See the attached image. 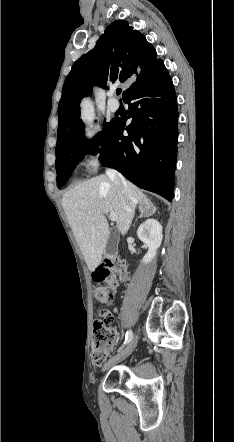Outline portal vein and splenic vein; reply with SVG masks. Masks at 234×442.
<instances>
[{
	"label": "portal vein and splenic vein",
	"mask_w": 234,
	"mask_h": 442,
	"mask_svg": "<svg viewBox=\"0 0 234 442\" xmlns=\"http://www.w3.org/2000/svg\"><path fill=\"white\" fill-rule=\"evenodd\" d=\"M89 213H91V211H89ZM110 219H111L113 222H116V221H117V215H116L114 212H111V213H110Z\"/></svg>",
	"instance_id": "1"
}]
</instances>
